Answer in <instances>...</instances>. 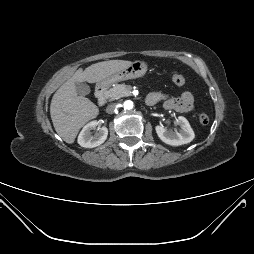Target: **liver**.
<instances>
[{
  "label": "liver",
  "instance_id": "1",
  "mask_svg": "<svg viewBox=\"0 0 254 254\" xmlns=\"http://www.w3.org/2000/svg\"><path fill=\"white\" fill-rule=\"evenodd\" d=\"M132 62L109 60L98 62L85 70L78 69L54 94L50 115L57 134L66 142L73 143L79 130L99 114L98 107L88 98L78 96L76 83H96L128 67Z\"/></svg>",
  "mask_w": 254,
  "mask_h": 254
}]
</instances>
